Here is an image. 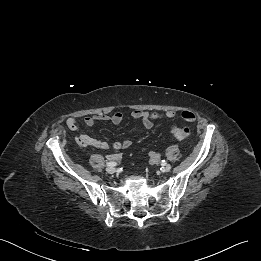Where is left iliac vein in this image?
Listing matches in <instances>:
<instances>
[{"label": "left iliac vein", "instance_id": "left-iliac-vein-1", "mask_svg": "<svg viewBox=\"0 0 261 261\" xmlns=\"http://www.w3.org/2000/svg\"><path fill=\"white\" fill-rule=\"evenodd\" d=\"M162 172H169L171 170V165L170 164H165L162 167Z\"/></svg>", "mask_w": 261, "mask_h": 261}]
</instances>
